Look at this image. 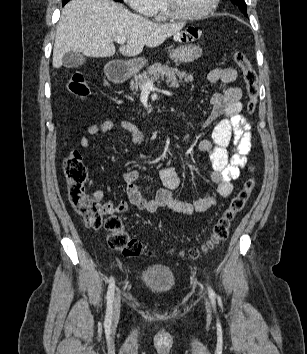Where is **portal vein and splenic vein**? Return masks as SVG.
<instances>
[{
    "instance_id": "1",
    "label": "portal vein and splenic vein",
    "mask_w": 307,
    "mask_h": 354,
    "mask_svg": "<svg viewBox=\"0 0 307 354\" xmlns=\"http://www.w3.org/2000/svg\"><path fill=\"white\" fill-rule=\"evenodd\" d=\"M114 41L123 45L124 43H126L127 40L124 37H117V38H115ZM153 89H155V86H154L152 81H147L144 84V86L142 87V91H144V92H149V91H151Z\"/></svg>"
}]
</instances>
